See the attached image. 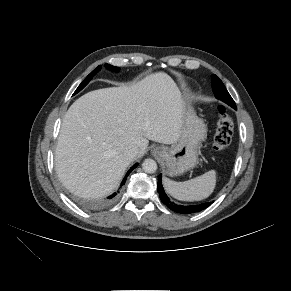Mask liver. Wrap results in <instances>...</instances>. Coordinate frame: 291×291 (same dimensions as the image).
Instances as JSON below:
<instances>
[{
  "label": "liver",
  "mask_w": 291,
  "mask_h": 291,
  "mask_svg": "<svg viewBox=\"0 0 291 291\" xmlns=\"http://www.w3.org/2000/svg\"><path fill=\"white\" fill-rule=\"evenodd\" d=\"M185 104L166 73L151 74L130 86L88 92L68 109L55 151L62 184L85 198L109 195L149 140L174 144L181 133ZM137 146L133 160L125 151Z\"/></svg>",
  "instance_id": "obj_1"
}]
</instances>
